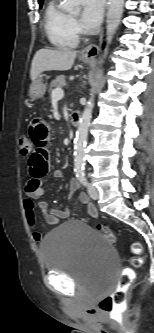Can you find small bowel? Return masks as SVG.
I'll use <instances>...</instances> for the list:
<instances>
[{
	"label": "small bowel",
	"mask_w": 154,
	"mask_h": 333,
	"mask_svg": "<svg viewBox=\"0 0 154 333\" xmlns=\"http://www.w3.org/2000/svg\"><path fill=\"white\" fill-rule=\"evenodd\" d=\"M27 135L29 137L32 150L28 158V171L30 179L25 186L27 198L24 201V209L28 226L32 232V238L34 241L40 242L42 240V235L37 229L34 201L40 199V197L44 194V179L50 167V128L43 119L35 118L28 126ZM53 175L55 178H63L66 174L63 170H55ZM78 187L79 184L77 181H70L68 199L72 197ZM79 201L87 206L88 213L92 217L98 216L96 207L89 201L85 194L82 193L79 195ZM38 208L40 209L45 221L50 225H57L60 220L68 218L70 215L68 206L61 209H54L51 208L46 201H39Z\"/></svg>",
	"instance_id": "obj_1"
}]
</instances>
